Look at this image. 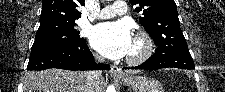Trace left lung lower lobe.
I'll return each mask as SVG.
<instances>
[{
	"instance_id": "left-lung-lower-lobe-1",
	"label": "left lung lower lobe",
	"mask_w": 225,
	"mask_h": 92,
	"mask_svg": "<svg viewBox=\"0 0 225 92\" xmlns=\"http://www.w3.org/2000/svg\"><path fill=\"white\" fill-rule=\"evenodd\" d=\"M175 67L182 69H194V62L190 53L156 54L147 61L131 69L156 70L160 68ZM127 69V68H124Z\"/></svg>"
}]
</instances>
